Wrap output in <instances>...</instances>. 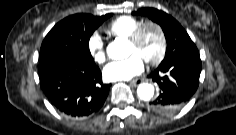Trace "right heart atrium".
Masks as SVG:
<instances>
[{
	"instance_id": "obj_1",
	"label": "right heart atrium",
	"mask_w": 236,
	"mask_h": 135,
	"mask_svg": "<svg viewBox=\"0 0 236 135\" xmlns=\"http://www.w3.org/2000/svg\"><path fill=\"white\" fill-rule=\"evenodd\" d=\"M88 51L92 56L93 60L101 64L105 61L106 58V42L101 34L94 32L89 36L88 39Z\"/></svg>"
}]
</instances>
